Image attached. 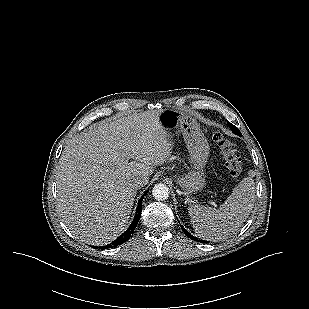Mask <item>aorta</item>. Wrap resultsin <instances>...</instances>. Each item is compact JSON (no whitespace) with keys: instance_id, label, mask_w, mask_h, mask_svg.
I'll use <instances>...</instances> for the list:
<instances>
[{"instance_id":"762f6f07","label":"aorta","mask_w":309,"mask_h":309,"mask_svg":"<svg viewBox=\"0 0 309 309\" xmlns=\"http://www.w3.org/2000/svg\"><path fill=\"white\" fill-rule=\"evenodd\" d=\"M152 195L156 200L164 201L169 197V188L164 184H156L153 187Z\"/></svg>"}]
</instances>
